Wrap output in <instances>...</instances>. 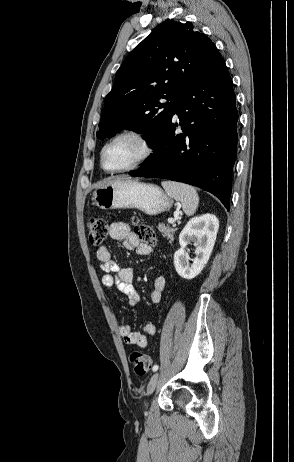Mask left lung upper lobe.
<instances>
[{
    "instance_id": "left-lung-upper-lobe-1",
    "label": "left lung upper lobe",
    "mask_w": 294,
    "mask_h": 462,
    "mask_svg": "<svg viewBox=\"0 0 294 462\" xmlns=\"http://www.w3.org/2000/svg\"><path fill=\"white\" fill-rule=\"evenodd\" d=\"M221 59L212 41L191 23H161L118 69L97 137L131 129L150 135L146 141L152 147L171 122L187 86Z\"/></svg>"
}]
</instances>
